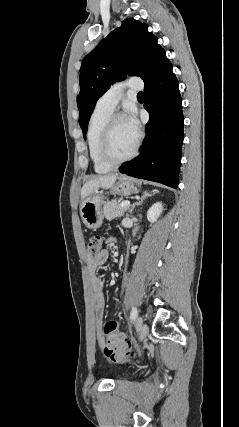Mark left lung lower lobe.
Returning a JSON list of instances; mask_svg holds the SVG:
<instances>
[{"mask_svg":"<svg viewBox=\"0 0 239 427\" xmlns=\"http://www.w3.org/2000/svg\"><path fill=\"white\" fill-rule=\"evenodd\" d=\"M166 62L158 73L145 82L144 108L150 119L140 155L121 165L126 175L178 187V173L183 144L184 117L179 83Z\"/></svg>","mask_w":239,"mask_h":427,"instance_id":"1","label":"left lung lower lobe"}]
</instances>
